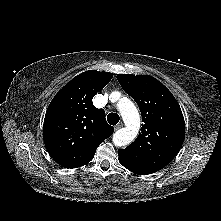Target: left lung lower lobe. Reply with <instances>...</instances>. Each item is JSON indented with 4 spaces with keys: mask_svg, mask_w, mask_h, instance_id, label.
<instances>
[{
    "mask_svg": "<svg viewBox=\"0 0 221 221\" xmlns=\"http://www.w3.org/2000/svg\"><path fill=\"white\" fill-rule=\"evenodd\" d=\"M119 155V162L128 170H130L133 173L136 174H140V175H148V174H152L154 172H156L155 170L148 168V167H144L141 166L135 162H133L132 160L120 155Z\"/></svg>",
    "mask_w": 221,
    "mask_h": 221,
    "instance_id": "0a47b994",
    "label": "left lung lower lobe"
}]
</instances>
